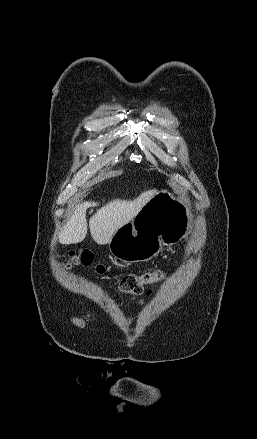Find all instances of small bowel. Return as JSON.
Listing matches in <instances>:
<instances>
[{"mask_svg":"<svg viewBox=\"0 0 257 439\" xmlns=\"http://www.w3.org/2000/svg\"><path fill=\"white\" fill-rule=\"evenodd\" d=\"M103 271H104V269H103L102 267H99V268H98V272H99V273H103ZM151 293H152V290H148V291H147V294H148V295H150Z\"/></svg>","mask_w":257,"mask_h":439,"instance_id":"small-bowel-1","label":"small bowel"}]
</instances>
